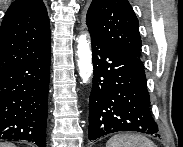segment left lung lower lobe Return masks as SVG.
<instances>
[{
	"label": "left lung lower lobe",
	"instance_id": "obj_1",
	"mask_svg": "<svg viewBox=\"0 0 183 147\" xmlns=\"http://www.w3.org/2000/svg\"><path fill=\"white\" fill-rule=\"evenodd\" d=\"M93 85L89 99V140L110 133L158 134L140 57L91 37Z\"/></svg>",
	"mask_w": 183,
	"mask_h": 147
}]
</instances>
